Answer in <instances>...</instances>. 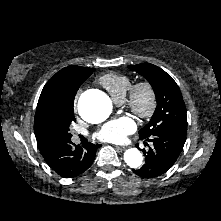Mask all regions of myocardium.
I'll return each mask as SVG.
<instances>
[{"label":"myocardium","instance_id":"obj_1","mask_svg":"<svg viewBox=\"0 0 221 221\" xmlns=\"http://www.w3.org/2000/svg\"><path fill=\"white\" fill-rule=\"evenodd\" d=\"M125 103L139 118H151L157 108V95L153 85L146 80L131 85Z\"/></svg>","mask_w":221,"mask_h":221}]
</instances>
